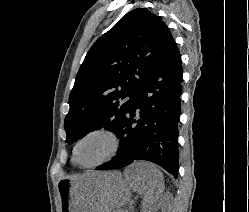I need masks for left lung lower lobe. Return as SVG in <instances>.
<instances>
[{
	"label": "left lung lower lobe",
	"instance_id": "left-lung-lower-lobe-1",
	"mask_svg": "<svg viewBox=\"0 0 249 212\" xmlns=\"http://www.w3.org/2000/svg\"><path fill=\"white\" fill-rule=\"evenodd\" d=\"M181 83V58L173 41L145 78L122 120L117 156L96 170L118 169L146 160L178 176Z\"/></svg>",
	"mask_w": 249,
	"mask_h": 212
}]
</instances>
